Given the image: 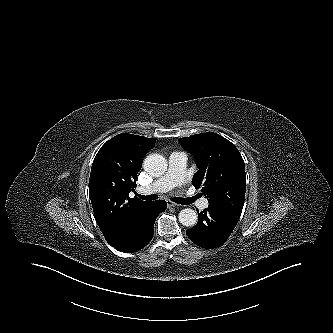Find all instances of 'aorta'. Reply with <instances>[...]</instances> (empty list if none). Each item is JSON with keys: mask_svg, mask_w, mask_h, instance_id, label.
<instances>
[{"mask_svg": "<svg viewBox=\"0 0 333 333\" xmlns=\"http://www.w3.org/2000/svg\"><path fill=\"white\" fill-rule=\"evenodd\" d=\"M167 160L160 154H150L144 159V170L153 177H160L167 171ZM179 222L186 226L191 227L197 223L198 215L190 208L181 210L178 214Z\"/></svg>", "mask_w": 333, "mask_h": 333, "instance_id": "1", "label": "aorta"}]
</instances>
